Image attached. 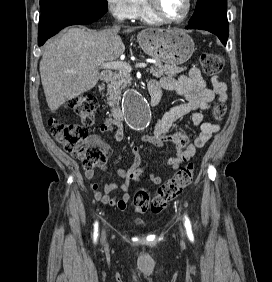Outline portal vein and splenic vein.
Returning <instances> with one entry per match:
<instances>
[{
  "label": "portal vein and splenic vein",
  "instance_id": "portal-vein-and-splenic-vein-1",
  "mask_svg": "<svg viewBox=\"0 0 272 282\" xmlns=\"http://www.w3.org/2000/svg\"><path fill=\"white\" fill-rule=\"evenodd\" d=\"M148 65L147 63H137L135 65V68H146ZM101 68L104 69H114V70H125V71H131L132 67L126 62L121 61H110V62H103L101 63Z\"/></svg>",
  "mask_w": 272,
  "mask_h": 282
}]
</instances>
